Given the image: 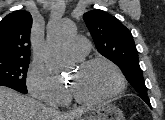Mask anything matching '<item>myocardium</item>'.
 Instances as JSON below:
<instances>
[{"instance_id": "obj_1", "label": "myocardium", "mask_w": 165, "mask_h": 120, "mask_svg": "<svg viewBox=\"0 0 165 120\" xmlns=\"http://www.w3.org/2000/svg\"><path fill=\"white\" fill-rule=\"evenodd\" d=\"M97 65L108 66L109 68H111L114 71V73L116 74V77L118 79V85H117L116 89L106 96L96 98V99H86V98L79 96L76 93V91L72 87H70L71 95L76 102L83 104V105H97V104L108 102L123 93V91L126 87L125 76H124L122 70L120 69V67L117 64H115L114 62H112L111 60H108L105 58H94V59L86 60L80 64L79 69L85 70V69H88L90 67L97 66Z\"/></svg>"}]
</instances>
